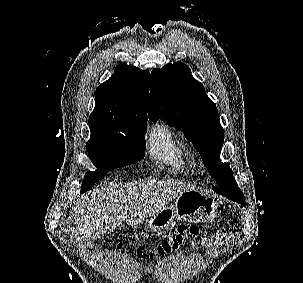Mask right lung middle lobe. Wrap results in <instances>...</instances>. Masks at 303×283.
I'll return each mask as SVG.
<instances>
[{
    "mask_svg": "<svg viewBox=\"0 0 303 283\" xmlns=\"http://www.w3.org/2000/svg\"><path fill=\"white\" fill-rule=\"evenodd\" d=\"M145 133L146 122L91 131L86 151L97 171L86 173L82 191L92 188L108 171L142 160L146 149Z\"/></svg>",
    "mask_w": 303,
    "mask_h": 283,
    "instance_id": "1",
    "label": "right lung middle lobe"
}]
</instances>
